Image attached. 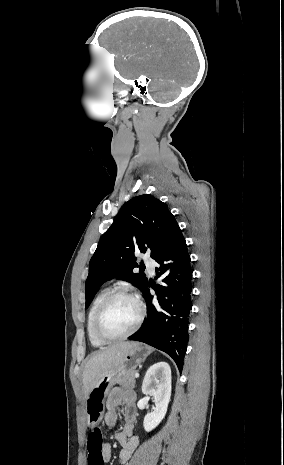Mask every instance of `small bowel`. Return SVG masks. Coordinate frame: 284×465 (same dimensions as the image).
Instances as JSON below:
<instances>
[{
	"mask_svg": "<svg viewBox=\"0 0 284 465\" xmlns=\"http://www.w3.org/2000/svg\"><path fill=\"white\" fill-rule=\"evenodd\" d=\"M136 400L134 391H124L119 387L113 388L107 398V412L105 414V424L113 427L118 421V410L123 407L124 425L121 431L115 434V439L119 442L122 449L120 451V460L122 465L127 464L133 452L139 444V439L134 435V423L137 413L133 407ZM112 456V448L109 443L103 447V457L109 461Z\"/></svg>",
	"mask_w": 284,
	"mask_h": 465,
	"instance_id": "obj_1",
	"label": "small bowel"
}]
</instances>
